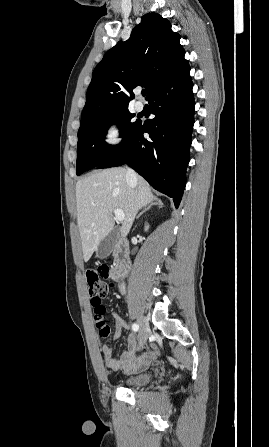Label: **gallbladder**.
Instances as JSON below:
<instances>
[{
  "label": "gallbladder",
  "mask_w": 269,
  "mask_h": 447,
  "mask_svg": "<svg viewBox=\"0 0 269 447\" xmlns=\"http://www.w3.org/2000/svg\"><path fill=\"white\" fill-rule=\"evenodd\" d=\"M118 227H114L112 231H110L109 235L101 241L100 245H98L96 249V255L97 257H107V255H110L117 239H118Z\"/></svg>",
  "instance_id": "gallbladder-1"
}]
</instances>
